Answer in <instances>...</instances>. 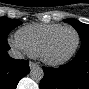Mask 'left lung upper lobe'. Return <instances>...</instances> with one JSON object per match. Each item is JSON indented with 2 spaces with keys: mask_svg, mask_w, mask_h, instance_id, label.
Masks as SVG:
<instances>
[{
  "mask_svg": "<svg viewBox=\"0 0 89 89\" xmlns=\"http://www.w3.org/2000/svg\"><path fill=\"white\" fill-rule=\"evenodd\" d=\"M65 22L71 24L78 32L81 43L89 42V25L84 24L76 19H65Z\"/></svg>",
  "mask_w": 89,
  "mask_h": 89,
  "instance_id": "left-lung-upper-lobe-1",
  "label": "left lung upper lobe"
}]
</instances>
